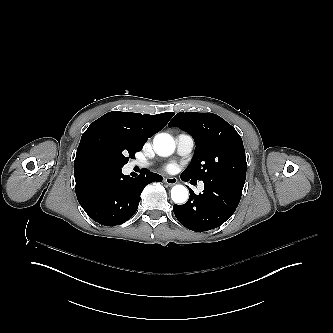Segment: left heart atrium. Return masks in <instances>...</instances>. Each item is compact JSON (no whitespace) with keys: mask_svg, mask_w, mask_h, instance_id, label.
Here are the masks:
<instances>
[{"mask_svg":"<svg viewBox=\"0 0 333 333\" xmlns=\"http://www.w3.org/2000/svg\"><path fill=\"white\" fill-rule=\"evenodd\" d=\"M177 169V166L175 164H170L168 167H167V171L169 173H174Z\"/></svg>","mask_w":333,"mask_h":333,"instance_id":"1","label":"left heart atrium"}]
</instances>
